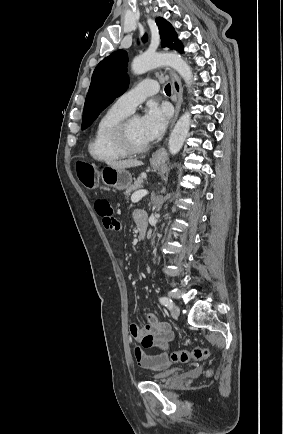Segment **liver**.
<instances>
[{
    "label": "liver",
    "instance_id": "obj_1",
    "mask_svg": "<svg viewBox=\"0 0 283 434\" xmlns=\"http://www.w3.org/2000/svg\"><path fill=\"white\" fill-rule=\"evenodd\" d=\"M108 166L116 169H126L142 165V162L137 159H128L122 161H109Z\"/></svg>",
    "mask_w": 283,
    "mask_h": 434
}]
</instances>
